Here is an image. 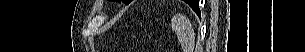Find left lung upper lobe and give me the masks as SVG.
Listing matches in <instances>:
<instances>
[{
	"instance_id": "1",
	"label": "left lung upper lobe",
	"mask_w": 305,
	"mask_h": 52,
	"mask_svg": "<svg viewBox=\"0 0 305 52\" xmlns=\"http://www.w3.org/2000/svg\"><path fill=\"white\" fill-rule=\"evenodd\" d=\"M195 1H196V0H187L186 3H188V4L191 6V5H193V3H194ZM125 2H126V3H129L130 1H129V0H126Z\"/></svg>"
}]
</instances>
